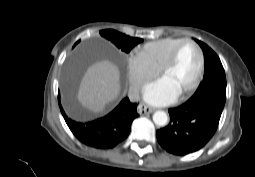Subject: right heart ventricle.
Listing matches in <instances>:
<instances>
[{
	"label": "right heart ventricle",
	"mask_w": 255,
	"mask_h": 177,
	"mask_svg": "<svg viewBox=\"0 0 255 177\" xmlns=\"http://www.w3.org/2000/svg\"><path fill=\"white\" fill-rule=\"evenodd\" d=\"M184 40V38L168 37L145 44L138 54L151 66L160 70L169 58L173 49Z\"/></svg>",
	"instance_id": "obj_1"
}]
</instances>
